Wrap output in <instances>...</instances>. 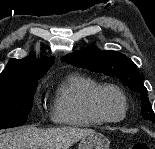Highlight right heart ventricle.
<instances>
[{"label":"right heart ventricle","mask_w":155,"mask_h":149,"mask_svg":"<svg viewBox=\"0 0 155 149\" xmlns=\"http://www.w3.org/2000/svg\"><path fill=\"white\" fill-rule=\"evenodd\" d=\"M99 84L82 74L69 75L58 87L52 107L51 118L60 125L94 127L103 125L92 110L90 96Z\"/></svg>","instance_id":"right-heart-ventricle-1"}]
</instances>
